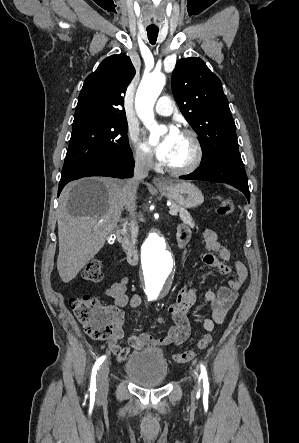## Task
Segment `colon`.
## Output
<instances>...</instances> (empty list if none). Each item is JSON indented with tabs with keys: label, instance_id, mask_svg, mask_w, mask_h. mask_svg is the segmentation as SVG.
Here are the masks:
<instances>
[{
	"label": "colon",
	"instance_id": "1",
	"mask_svg": "<svg viewBox=\"0 0 299 443\" xmlns=\"http://www.w3.org/2000/svg\"><path fill=\"white\" fill-rule=\"evenodd\" d=\"M234 212V203L231 197H224L217 213L222 217L230 216ZM84 280L98 283L103 279V272L99 260L89 261L83 270ZM69 307L77 320L82 325L85 333L94 340L107 341L114 335V326L117 322L115 313L105 307L100 301L92 296L73 297L69 300ZM213 341L210 333L204 334L198 341V349L203 350ZM197 353L194 350H187L173 355L176 363H187L194 360Z\"/></svg>",
	"mask_w": 299,
	"mask_h": 443
}]
</instances>
